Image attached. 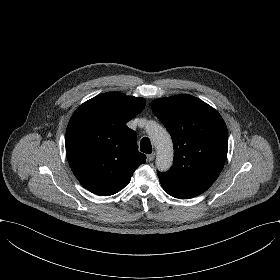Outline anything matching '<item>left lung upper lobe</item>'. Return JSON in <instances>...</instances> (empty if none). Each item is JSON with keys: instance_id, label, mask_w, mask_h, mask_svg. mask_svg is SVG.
Here are the masks:
<instances>
[{"instance_id": "1", "label": "left lung upper lobe", "mask_w": 280, "mask_h": 280, "mask_svg": "<svg viewBox=\"0 0 280 280\" xmlns=\"http://www.w3.org/2000/svg\"><path fill=\"white\" fill-rule=\"evenodd\" d=\"M151 107L174 146L172 167L157 173L163 189L180 199L200 195L214 183L226 161L228 132L222 117L188 94L155 99Z\"/></svg>"}]
</instances>
